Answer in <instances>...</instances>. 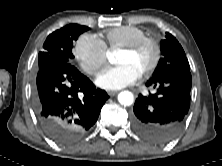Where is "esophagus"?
<instances>
[{
	"label": "esophagus",
	"instance_id": "34e87169",
	"mask_svg": "<svg viewBox=\"0 0 222 166\" xmlns=\"http://www.w3.org/2000/svg\"><path fill=\"white\" fill-rule=\"evenodd\" d=\"M118 92L117 91H108V95L109 96H114L116 95Z\"/></svg>",
	"mask_w": 222,
	"mask_h": 166
}]
</instances>
